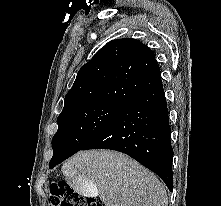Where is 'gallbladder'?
I'll return each mask as SVG.
<instances>
[{"label": "gallbladder", "mask_w": 221, "mask_h": 206, "mask_svg": "<svg viewBox=\"0 0 221 206\" xmlns=\"http://www.w3.org/2000/svg\"><path fill=\"white\" fill-rule=\"evenodd\" d=\"M68 182L73 194H80V198H97L98 189L95 185H91V181L70 180Z\"/></svg>", "instance_id": "obj_1"}]
</instances>
